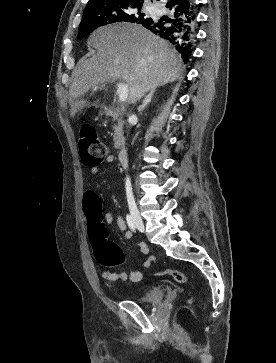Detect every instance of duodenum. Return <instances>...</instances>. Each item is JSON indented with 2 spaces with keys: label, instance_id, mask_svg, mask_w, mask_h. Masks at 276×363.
<instances>
[{
  "label": "duodenum",
  "instance_id": "1",
  "mask_svg": "<svg viewBox=\"0 0 276 363\" xmlns=\"http://www.w3.org/2000/svg\"><path fill=\"white\" fill-rule=\"evenodd\" d=\"M105 116L107 117H115L118 118L121 115V112L112 107H104L103 109ZM128 158V149L126 147H122L118 153V161L120 165L125 166L127 164Z\"/></svg>",
  "mask_w": 276,
  "mask_h": 363
}]
</instances>
